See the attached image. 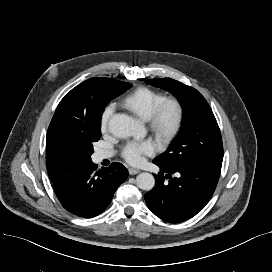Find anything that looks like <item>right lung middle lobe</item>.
I'll return each instance as SVG.
<instances>
[{
	"instance_id": "dd1d6c3e",
	"label": "right lung middle lobe",
	"mask_w": 272,
	"mask_h": 272,
	"mask_svg": "<svg viewBox=\"0 0 272 272\" xmlns=\"http://www.w3.org/2000/svg\"><path fill=\"white\" fill-rule=\"evenodd\" d=\"M131 86L132 85L130 83L114 80L101 98L98 119L91 126L76 131L72 134L71 144L80 162L91 161L90 156L94 152L93 143L98 141L101 137L100 119L105 106L111 99L122 94Z\"/></svg>"
}]
</instances>
